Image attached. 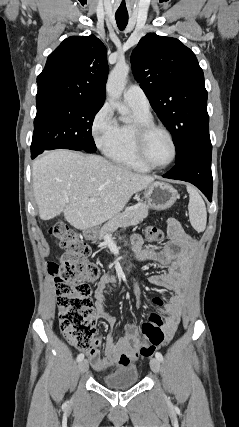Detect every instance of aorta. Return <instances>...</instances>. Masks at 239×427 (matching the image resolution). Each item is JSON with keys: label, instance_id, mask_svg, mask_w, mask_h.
Here are the masks:
<instances>
[{"label": "aorta", "instance_id": "obj_1", "mask_svg": "<svg viewBox=\"0 0 239 427\" xmlns=\"http://www.w3.org/2000/svg\"><path fill=\"white\" fill-rule=\"evenodd\" d=\"M129 70L130 67L127 64L117 63L109 74L106 85V91L111 102L115 103L118 112L122 115H126L129 110L126 106L118 103L117 101L122 96Z\"/></svg>", "mask_w": 239, "mask_h": 427}]
</instances>
